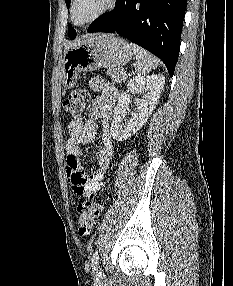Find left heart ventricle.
I'll return each instance as SVG.
<instances>
[{"label": "left heart ventricle", "mask_w": 233, "mask_h": 286, "mask_svg": "<svg viewBox=\"0 0 233 286\" xmlns=\"http://www.w3.org/2000/svg\"><path fill=\"white\" fill-rule=\"evenodd\" d=\"M108 3V0H77L74 18L77 23H84L98 14Z\"/></svg>", "instance_id": "b2bd125f"}]
</instances>
